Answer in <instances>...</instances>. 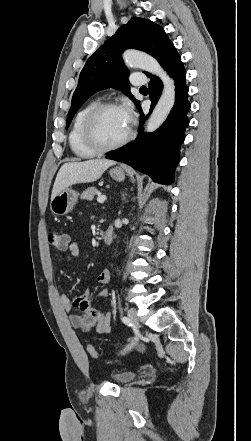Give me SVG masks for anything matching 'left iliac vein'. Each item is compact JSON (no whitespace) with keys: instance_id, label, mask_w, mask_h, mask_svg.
<instances>
[{"instance_id":"4c4485c4","label":"left iliac vein","mask_w":251,"mask_h":441,"mask_svg":"<svg viewBox=\"0 0 251 441\" xmlns=\"http://www.w3.org/2000/svg\"><path fill=\"white\" fill-rule=\"evenodd\" d=\"M128 318L133 323V325L136 327L137 332H138V336L125 349L122 350V352H121L122 354H124L127 351L131 350L136 345V343L139 340L140 324H139V319H138V316H137V312L134 309H129L128 310Z\"/></svg>"}]
</instances>
